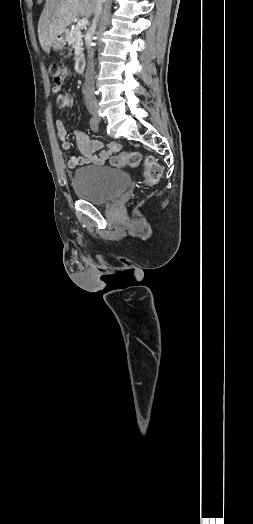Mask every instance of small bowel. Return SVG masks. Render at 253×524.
<instances>
[{
	"instance_id": "obj_1",
	"label": "small bowel",
	"mask_w": 253,
	"mask_h": 524,
	"mask_svg": "<svg viewBox=\"0 0 253 524\" xmlns=\"http://www.w3.org/2000/svg\"><path fill=\"white\" fill-rule=\"evenodd\" d=\"M53 93L57 97L58 106L61 108H69L73 105V97L70 94H64L61 87H54ZM58 140L62 148L70 152L71 143L67 138V130L64 122L60 119L55 122ZM77 148L80 151V156L71 154L67 160L68 168H75L77 166L95 164L104 165L110 157L119 152L121 145L117 142L103 143L99 140H91L90 137L83 131H74Z\"/></svg>"
}]
</instances>
